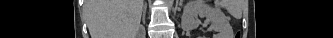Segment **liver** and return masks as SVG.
<instances>
[{
    "label": "liver",
    "mask_w": 333,
    "mask_h": 38,
    "mask_svg": "<svg viewBox=\"0 0 333 38\" xmlns=\"http://www.w3.org/2000/svg\"><path fill=\"white\" fill-rule=\"evenodd\" d=\"M143 0H87L91 38H136Z\"/></svg>",
    "instance_id": "liver-1"
}]
</instances>
